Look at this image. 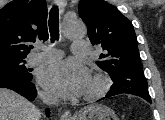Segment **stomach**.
I'll return each instance as SVG.
<instances>
[{"instance_id": "obj_1", "label": "stomach", "mask_w": 165, "mask_h": 120, "mask_svg": "<svg viewBox=\"0 0 165 120\" xmlns=\"http://www.w3.org/2000/svg\"><path fill=\"white\" fill-rule=\"evenodd\" d=\"M76 120H119L115 112L106 105L95 104L84 108Z\"/></svg>"}]
</instances>
